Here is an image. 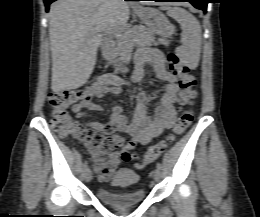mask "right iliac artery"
I'll return each mask as SVG.
<instances>
[{"mask_svg": "<svg viewBox=\"0 0 260 217\" xmlns=\"http://www.w3.org/2000/svg\"><path fill=\"white\" fill-rule=\"evenodd\" d=\"M87 166H88V165H87V162H85V163H84V168L86 169V168H87Z\"/></svg>", "mask_w": 260, "mask_h": 217, "instance_id": "82829eb1", "label": "right iliac artery"}]
</instances>
